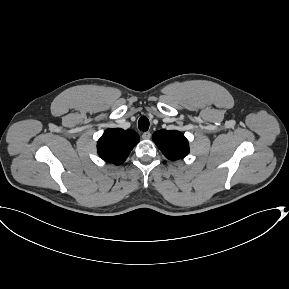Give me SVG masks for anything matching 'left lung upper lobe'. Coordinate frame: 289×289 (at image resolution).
<instances>
[{"instance_id":"left-lung-upper-lobe-1","label":"left lung upper lobe","mask_w":289,"mask_h":289,"mask_svg":"<svg viewBox=\"0 0 289 289\" xmlns=\"http://www.w3.org/2000/svg\"><path fill=\"white\" fill-rule=\"evenodd\" d=\"M152 139L170 160L184 158L189 153L188 140L179 131L159 130L153 134Z\"/></svg>"}]
</instances>
